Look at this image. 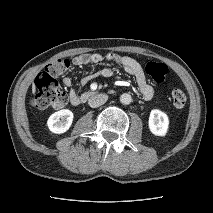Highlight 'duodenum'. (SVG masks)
<instances>
[{
    "mask_svg": "<svg viewBox=\"0 0 213 213\" xmlns=\"http://www.w3.org/2000/svg\"><path fill=\"white\" fill-rule=\"evenodd\" d=\"M95 92L89 91V92H85L84 94H82L80 96V102H84L86 101L88 98L92 97L93 95H95Z\"/></svg>",
    "mask_w": 213,
    "mask_h": 213,
    "instance_id": "duodenum-1",
    "label": "duodenum"
}]
</instances>
